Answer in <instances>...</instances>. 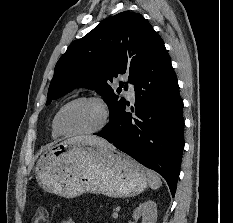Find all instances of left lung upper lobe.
<instances>
[{
    "mask_svg": "<svg viewBox=\"0 0 233 223\" xmlns=\"http://www.w3.org/2000/svg\"><path fill=\"white\" fill-rule=\"evenodd\" d=\"M160 39L139 13L124 11L98 25L72 43L54 70L46 105L77 87L95 90L107 101L110 121L125 99L114 93L110 82L119 74H129L133 83ZM127 90V85L124 87ZM120 91H118L119 93Z\"/></svg>",
    "mask_w": 233,
    "mask_h": 223,
    "instance_id": "1",
    "label": "left lung upper lobe"
}]
</instances>
